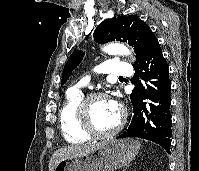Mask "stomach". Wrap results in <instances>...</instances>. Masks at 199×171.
I'll use <instances>...</instances> for the list:
<instances>
[{
    "label": "stomach",
    "instance_id": "1",
    "mask_svg": "<svg viewBox=\"0 0 199 171\" xmlns=\"http://www.w3.org/2000/svg\"><path fill=\"white\" fill-rule=\"evenodd\" d=\"M139 148L134 139H108L92 152L60 161L53 171H115L129 164Z\"/></svg>",
    "mask_w": 199,
    "mask_h": 171
}]
</instances>
